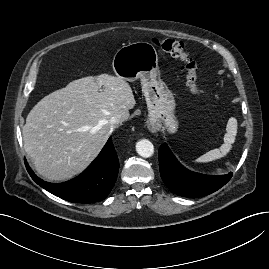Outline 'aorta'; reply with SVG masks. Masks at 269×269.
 Here are the masks:
<instances>
[{"mask_svg": "<svg viewBox=\"0 0 269 269\" xmlns=\"http://www.w3.org/2000/svg\"><path fill=\"white\" fill-rule=\"evenodd\" d=\"M136 151L140 156L148 158L153 155L154 146L151 141L142 139L136 143Z\"/></svg>", "mask_w": 269, "mask_h": 269, "instance_id": "aorta-1", "label": "aorta"}]
</instances>
